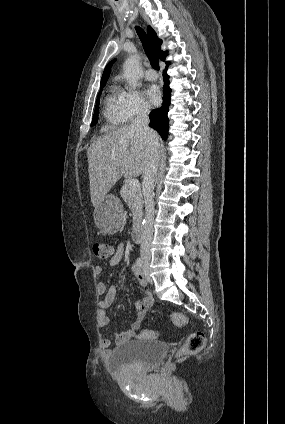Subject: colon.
Listing matches in <instances>:
<instances>
[{"label": "colon", "instance_id": "5ec220e1", "mask_svg": "<svg viewBox=\"0 0 285 424\" xmlns=\"http://www.w3.org/2000/svg\"><path fill=\"white\" fill-rule=\"evenodd\" d=\"M93 253L96 257L101 259H106L111 257L113 254V248L110 244L103 241H96L93 244ZM171 321L174 325L178 327H184L187 324V318L179 312H175L171 315ZM156 336V333L150 330H147L143 333V338H153ZM205 345V336L202 332H193L186 339L184 345L179 350V355H193L198 353L204 348Z\"/></svg>", "mask_w": 285, "mask_h": 424}]
</instances>
